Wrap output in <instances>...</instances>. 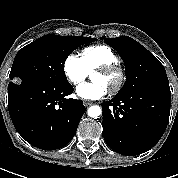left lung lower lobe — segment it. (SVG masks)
Instances as JSON below:
<instances>
[{"label": "left lung lower lobe", "mask_w": 178, "mask_h": 178, "mask_svg": "<svg viewBox=\"0 0 178 178\" xmlns=\"http://www.w3.org/2000/svg\"><path fill=\"white\" fill-rule=\"evenodd\" d=\"M171 95L140 90L102 103L103 133L115 152L134 156L151 149L162 137L170 116Z\"/></svg>", "instance_id": "left-lung-lower-lobe-1"}]
</instances>
